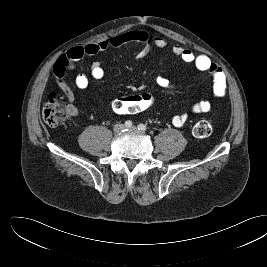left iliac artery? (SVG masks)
<instances>
[{"label": "left iliac artery", "mask_w": 267, "mask_h": 267, "mask_svg": "<svg viewBox=\"0 0 267 267\" xmlns=\"http://www.w3.org/2000/svg\"><path fill=\"white\" fill-rule=\"evenodd\" d=\"M146 129H147V127L144 124H139L138 125V130L145 131Z\"/></svg>", "instance_id": "1"}]
</instances>
